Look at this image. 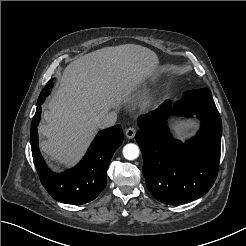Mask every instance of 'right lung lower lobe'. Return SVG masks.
<instances>
[{
	"label": "right lung lower lobe",
	"instance_id": "1",
	"mask_svg": "<svg viewBox=\"0 0 246 246\" xmlns=\"http://www.w3.org/2000/svg\"><path fill=\"white\" fill-rule=\"evenodd\" d=\"M41 105L38 104L31 124V150L41 183L57 201L67 204H84L95 199L107 184L106 171L116 149L123 142L120 125L98 133L85 157L73 169L63 174L52 172L45 164L38 148L37 126Z\"/></svg>",
	"mask_w": 246,
	"mask_h": 246
}]
</instances>
